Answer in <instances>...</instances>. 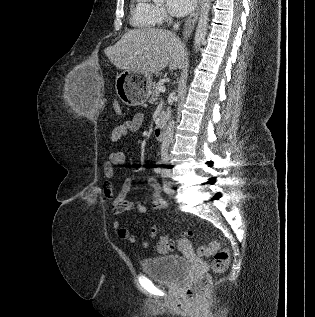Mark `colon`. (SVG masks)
Instances as JSON below:
<instances>
[{"mask_svg":"<svg viewBox=\"0 0 315 317\" xmlns=\"http://www.w3.org/2000/svg\"><path fill=\"white\" fill-rule=\"evenodd\" d=\"M115 111L121 114V107L118 103L115 104ZM159 252L168 253L173 249V244L167 235H163L158 244ZM198 253L202 256H212L211 272L203 274L194 279L186 289V297L189 300L199 299L211 282V274H221L226 271L229 264V251L219 241L212 240L206 245L198 248Z\"/></svg>","mask_w":315,"mask_h":317,"instance_id":"obj_1","label":"colon"}]
</instances>
